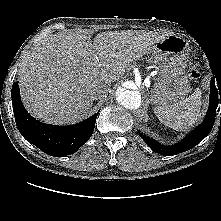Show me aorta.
I'll use <instances>...</instances> for the list:
<instances>
[{"instance_id":"obj_1","label":"aorta","mask_w":221,"mask_h":221,"mask_svg":"<svg viewBox=\"0 0 221 221\" xmlns=\"http://www.w3.org/2000/svg\"><path fill=\"white\" fill-rule=\"evenodd\" d=\"M117 102L127 109H137L141 103V95L137 90L119 88L116 91Z\"/></svg>"}]
</instances>
